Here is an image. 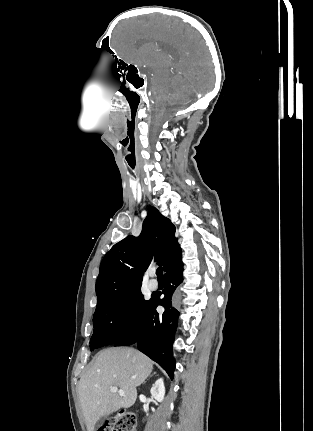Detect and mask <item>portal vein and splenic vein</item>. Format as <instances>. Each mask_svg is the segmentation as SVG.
<instances>
[{
  "mask_svg": "<svg viewBox=\"0 0 313 431\" xmlns=\"http://www.w3.org/2000/svg\"><path fill=\"white\" fill-rule=\"evenodd\" d=\"M110 392L112 393H119L120 396H124V391L122 389H118L117 387H111Z\"/></svg>",
  "mask_w": 313,
  "mask_h": 431,
  "instance_id": "portal-vein-and-splenic-vein-1",
  "label": "portal vein and splenic vein"
}]
</instances>
